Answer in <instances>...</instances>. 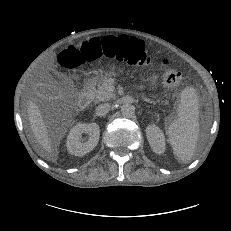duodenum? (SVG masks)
Listing matches in <instances>:
<instances>
[{
  "instance_id": "obj_1",
  "label": "duodenum",
  "mask_w": 231,
  "mask_h": 231,
  "mask_svg": "<svg viewBox=\"0 0 231 231\" xmlns=\"http://www.w3.org/2000/svg\"><path fill=\"white\" fill-rule=\"evenodd\" d=\"M93 85H94V80L88 79L86 82V90L78 99V104L83 109L87 108L91 102Z\"/></svg>"
}]
</instances>
